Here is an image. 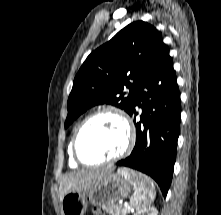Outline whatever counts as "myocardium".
I'll use <instances>...</instances> for the list:
<instances>
[{"mask_svg":"<svg viewBox=\"0 0 221 215\" xmlns=\"http://www.w3.org/2000/svg\"><path fill=\"white\" fill-rule=\"evenodd\" d=\"M103 114H112L120 120V122L122 123V125L125 129V134H126L125 144H124L123 148L118 153H116L115 155H113L105 160L97 161V162L85 161L81 157L80 152H79V148H78L80 136H81L83 130L85 129V127L92 120H94L96 117L103 115ZM135 137H136L135 129H134V126L131 123L130 119L128 118V116L121 109H119L117 107L104 106V107L97 109L96 111H94L90 115H88L81 122V124L78 126L77 130L75 131V133L73 135L72 142H71L72 155H73L74 160L78 164L83 165V166H99V165L111 163V162H114V161H117V160L123 158L124 156H126L127 154H129L131 152V150L134 146V143H135Z\"/></svg>","mask_w":221,"mask_h":215,"instance_id":"obj_1","label":"myocardium"}]
</instances>
